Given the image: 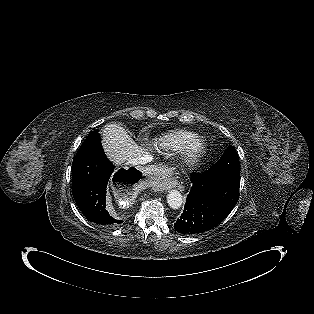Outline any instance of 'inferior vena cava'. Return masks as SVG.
<instances>
[{
    "label": "inferior vena cava",
    "mask_w": 314,
    "mask_h": 314,
    "mask_svg": "<svg viewBox=\"0 0 314 314\" xmlns=\"http://www.w3.org/2000/svg\"><path fill=\"white\" fill-rule=\"evenodd\" d=\"M152 159L153 158L150 155H140V156H137L135 158L128 160L127 163L130 165H140V164L143 165L152 161Z\"/></svg>",
    "instance_id": "obj_1"
}]
</instances>
